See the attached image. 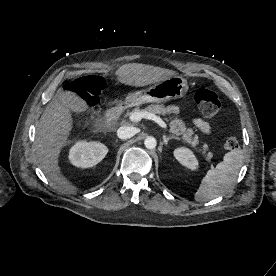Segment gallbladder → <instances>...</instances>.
I'll return each instance as SVG.
<instances>
[{"label": "gallbladder", "mask_w": 276, "mask_h": 276, "mask_svg": "<svg viewBox=\"0 0 276 276\" xmlns=\"http://www.w3.org/2000/svg\"><path fill=\"white\" fill-rule=\"evenodd\" d=\"M70 109L74 112H84L88 110L86 102L76 93L71 92Z\"/></svg>", "instance_id": "bac80fb5"}]
</instances>
